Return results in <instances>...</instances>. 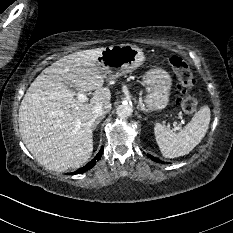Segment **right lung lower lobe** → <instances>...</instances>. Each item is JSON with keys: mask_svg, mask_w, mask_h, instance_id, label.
Wrapping results in <instances>:
<instances>
[{"mask_svg": "<svg viewBox=\"0 0 233 233\" xmlns=\"http://www.w3.org/2000/svg\"><path fill=\"white\" fill-rule=\"evenodd\" d=\"M102 153H103V147L100 149L99 153L95 156V158L93 160H91L88 164H86L84 167L80 168L79 170H77L73 173H67V175L79 174V173H83V172L89 170L90 168H92L96 164V162L98 160H100Z\"/></svg>", "mask_w": 233, "mask_h": 233, "instance_id": "98d812e1", "label": "right lung lower lobe"}]
</instances>
